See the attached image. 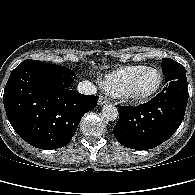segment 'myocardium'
Segmentation results:
<instances>
[{
	"label": "myocardium",
	"mask_w": 195,
	"mask_h": 195,
	"mask_svg": "<svg viewBox=\"0 0 195 195\" xmlns=\"http://www.w3.org/2000/svg\"><path fill=\"white\" fill-rule=\"evenodd\" d=\"M152 71L155 72L158 75V82L156 86L151 89L148 92L145 93H137L134 90V86L138 78L145 72ZM163 84V75L160 70L154 68V67H144L141 70H139L128 82L125 90L118 96L120 98L129 100L131 102H144L152 98L154 95H156L159 90L161 89Z\"/></svg>",
	"instance_id": "obj_1"
}]
</instances>
